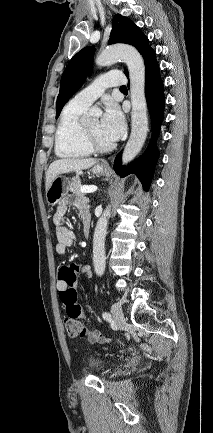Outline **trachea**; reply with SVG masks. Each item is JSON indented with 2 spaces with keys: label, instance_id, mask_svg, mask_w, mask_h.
<instances>
[{
  "label": "trachea",
  "instance_id": "trachea-1",
  "mask_svg": "<svg viewBox=\"0 0 213 433\" xmlns=\"http://www.w3.org/2000/svg\"><path fill=\"white\" fill-rule=\"evenodd\" d=\"M120 89H127V87L126 86H122V87H120Z\"/></svg>",
  "mask_w": 213,
  "mask_h": 433
}]
</instances>
